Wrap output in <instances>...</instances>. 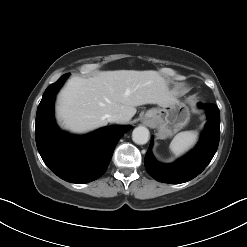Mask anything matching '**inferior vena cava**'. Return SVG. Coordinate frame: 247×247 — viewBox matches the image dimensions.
<instances>
[{"mask_svg":"<svg viewBox=\"0 0 247 247\" xmlns=\"http://www.w3.org/2000/svg\"><path fill=\"white\" fill-rule=\"evenodd\" d=\"M108 122L122 123L126 121V117L120 113L110 114L107 116Z\"/></svg>","mask_w":247,"mask_h":247,"instance_id":"602c4592","label":"inferior vena cava"}]
</instances>
